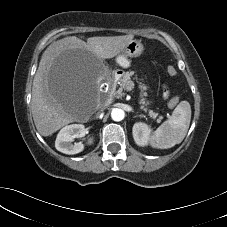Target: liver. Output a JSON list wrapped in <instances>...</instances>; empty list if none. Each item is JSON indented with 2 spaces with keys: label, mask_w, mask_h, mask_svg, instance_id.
Segmentation results:
<instances>
[{
  "label": "liver",
  "mask_w": 227,
  "mask_h": 227,
  "mask_svg": "<svg viewBox=\"0 0 227 227\" xmlns=\"http://www.w3.org/2000/svg\"><path fill=\"white\" fill-rule=\"evenodd\" d=\"M134 38L122 36L90 37L87 42L69 36L54 41L43 52L32 87L31 110L35 126L42 136L52 135L63 126L83 118L79 102L92 91L94 101L100 95V60L120 54ZM66 60L80 63L87 74L84 88L73 95L59 92L52 81L55 67ZM91 110L85 118L92 114Z\"/></svg>",
  "instance_id": "liver-1"
}]
</instances>
